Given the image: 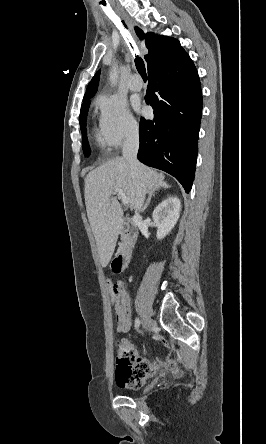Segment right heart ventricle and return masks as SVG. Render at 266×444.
Instances as JSON below:
<instances>
[{"label":"right heart ventricle","instance_id":"1","mask_svg":"<svg viewBox=\"0 0 266 444\" xmlns=\"http://www.w3.org/2000/svg\"><path fill=\"white\" fill-rule=\"evenodd\" d=\"M96 140L102 147L105 146L104 140L99 135H96Z\"/></svg>","mask_w":266,"mask_h":444}]
</instances>
